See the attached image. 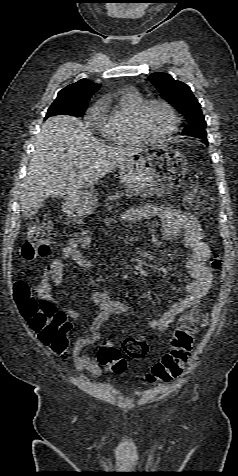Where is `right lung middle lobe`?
<instances>
[{
    "mask_svg": "<svg viewBox=\"0 0 238 476\" xmlns=\"http://www.w3.org/2000/svg\"><path fill=\"white\" fill-rule=\"evenodd\" d=\"M87 104L75 103L67 98L56 99L47 111L46 118L58 114L80 116L85 112Z\"/></svg>",
    "mask_w": 238,
    "mask_h": 476,
    "instance_id": "right-lung-middle-lobe-1",
    "label": "right lung middle lobe"
}]
</instances>
